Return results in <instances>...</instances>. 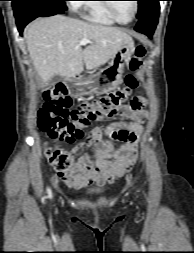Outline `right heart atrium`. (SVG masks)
<instances>
[{"label":"right heart atrium","instance_id":"obj_1","mask_svg":"<svg viewBox=\"0 0 194 253\" xmlns=\"http://www.w3.org/2000/svg\"><path fill=\"white\" fill-rule=\"evenodd\" d=\"M80 5H81V3H80L79 0H72V1H70V7L72 9H74V10L79 9Z\"/></svg>","mask_w":194,"mask_h":253}]
</instances>
